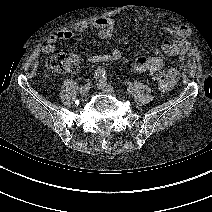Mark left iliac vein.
<instances>
[{"mask_svg":"<svg viewBox=\"0 0 212 212\" xmlns=\"http://www.w3.org/2000/svg\"><path fill=\"white\" fill-rule=\"evenodd\" d=\"M97 87L99 90L105 93L115 94L114 88L111 85L107 84V82L99 80V82L97 83Z\"/></svg>","mask_w":212,"mask_h":212,"instance_id":"left-iliac-vein-1","label":"left iliac vein"}]
</instances>
